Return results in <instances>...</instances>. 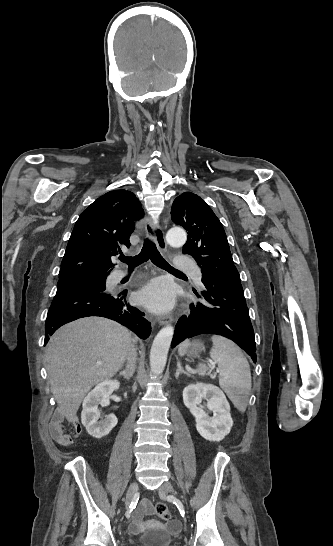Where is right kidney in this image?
Instances as JSON below:
<instances>
[{
	"instance_id": "right-kidney-1",
	"label": "right kidney",
	"mask_w": 333,
	"mask_h": 546,
	"mask_svg": "<svg viewBox=\"0 0 333 546\" xmlns=\"http://www.w3.org/2000/svg\"><path fill=\"white\" fill-rule=\"evenodd\" d=\"M120 383L117 380H105L95 386L83 401V410L81 412V422L85 426L89 435L95 438H102L117 425L118 419L114 414L101 418L98 406L109 405L110 395L118 389Z\"/></svg>"
}]
</instances>
